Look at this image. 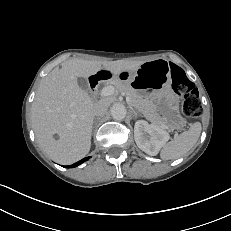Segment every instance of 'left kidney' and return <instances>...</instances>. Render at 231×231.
<instances>
[{"label": "left kidney", "instance_id": "5707ae66", "mask_svg": "<svg viewBox=\"0 0 231 231\" xmlns=\"http://www.w3.org/2000/svg\"><path fill=\"white\" fill-rule=\"evenodd\" d=\"M134 138L137 146L148 155L155 156L168 141L169 135L157 125L138 120L134 126Z\"/></svg>", "mask_w": 231, "mask_h": 231}]
</instances>
